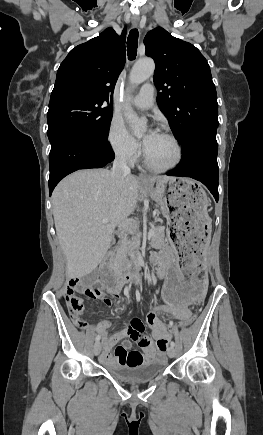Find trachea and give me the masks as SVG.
Listing matches in <instances>:
<instances>
[{"label":"trachea","mask_w":263,"mask_h":435,"mask_svg":"<svg viewBox=\"0 0 263 435\" xmlns=\"http://www.w3.org/2000/svg\"><path fill=\"white\" fill-rule=\"evenodd\" d=\"M138 30L136 28L132 29L128 35L127 39V52L128 59L134 60L137 55V47H138Z\"/></svg>","instance_id":"1"}]
</instances>
